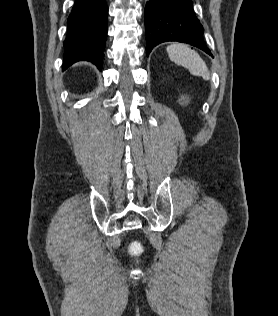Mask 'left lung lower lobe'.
<instances>
[{"mask_svg": "<svg viewBox=\"0 0 278 316\" xmlns=\"http://www.w3.org/2000/svg\"><path fill=\"white\" fill-rule=\"evenodd\" d=\"M145 28L147 56L155 46L167 41L187 43L212 56L204 42V29L194 13L191 0H148Z\"/></svg>", "mask_w": 278, "mask_h": 316, "instance_id": "left-lung-lower-lobe-1", "label": "left lung lower lobe"}]
</instances>
